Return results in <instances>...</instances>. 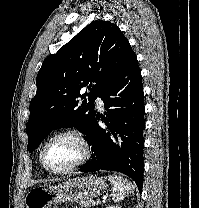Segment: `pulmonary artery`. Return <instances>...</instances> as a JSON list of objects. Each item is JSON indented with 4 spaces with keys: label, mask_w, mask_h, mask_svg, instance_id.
<instances>
[{
    "label": "pulmonary artery",
    "mask_w": 199,
    "mask_h": 208,
    "mask_svg": "<svg viewBox=\"0 0 199 208\" xmlns=\"http://www.w3.org/2000/svg\"><path fill=\"white\" fill-rule=\"evenodd\" d=\"M95 102L100 110L104 109V102L101 96H97Z\"/></svg>",
    "instance_id": "pulmonary-artery-1"
}]
</instances>
